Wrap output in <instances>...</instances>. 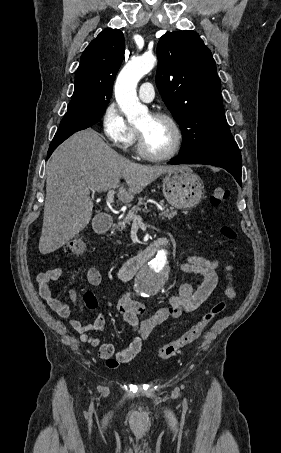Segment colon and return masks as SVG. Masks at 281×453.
<instances>
[{
	"label": "colon",
	"mask_w": 281,
	"mask_h": 453,
	"mask_svg": "<svg viewBox=\"0 0 281 453\" xmlns=\"http://www.w3.org/2000/svg\"><path fill=\"white\" fill-rule=\"evenodd\" d=\"M228 195V187L218 186L213 189L210 195V202L213 205L221 206L225 203ZM218 232L224 239L232 240L235 238V232L229 226H219ZM63 252L68 257H83L88 252L87 242L83 238H74L64 244ZM226 308L227 302L225 300H220L211 305L187 332L178 336L174 341L160 347L158 350L159 360L161 362H167L175 356L178 350L186 348L197 341L209 328L215 318L225 311Z\"/></svg>",
	"instance_id": "5ec220e1"
}]
</instances>
